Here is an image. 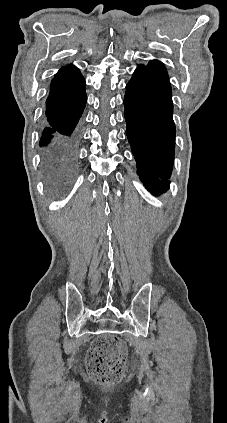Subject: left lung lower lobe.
I'll return each mask as SVG.
<instances>
[{
	"mask_svg": "<svg viewBox=\"0 0 227 423\" xmlns=\"http://www.w3.org/2000/svg\"><path fill=\"white\" fill-rule=\"evenodd\" d=\"M126 134L137 173L153 194L169 188L175 150L171 89L150 72L135 71L124 99Z\"/></svg>",
	"mask_w": 227,
	"mask_h": 423,
	"instance_id": "obj_1",
	"label": "left lung lower lobe"
}]
</instances>
